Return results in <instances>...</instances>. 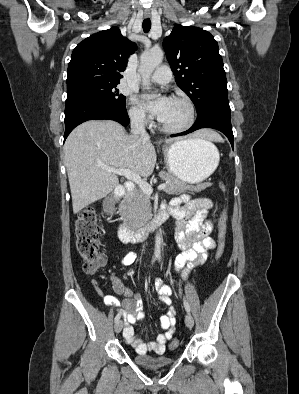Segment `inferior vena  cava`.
Listing matches in <instances>:
<instances>
[{"instance_id":"602c4592","label":"inferior vena cava","mask_w":299,"mask_h":394,"mask_svg":"<svg viewBox=\"0 0 299 394\" xmlns=\"http://www.w3.org/2000/svg\"><path fill=\"white\" fill-rule=\"evenodd\" d=\"M131 133L138 135L141 139L148 141L150 139L145 130L144 119L141 115H134L131 117Z\"/></svg>"}]
</instances>
